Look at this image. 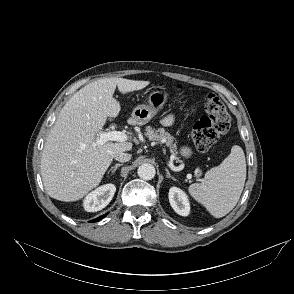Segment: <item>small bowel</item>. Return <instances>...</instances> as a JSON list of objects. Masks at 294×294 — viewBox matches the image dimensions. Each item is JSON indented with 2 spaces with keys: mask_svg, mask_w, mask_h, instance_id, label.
Segmentation results:
<instances>
[{
  "mask_svg": "<svg viewBox=\"0 0 294 294\" xmlns=\"http://www.w3.org/2000/svg\"><path fill=\"white\" fill-rule=\"evenodd\" d=\"M173 122V117L171 115L169 116H166L164 119H163V124L164 125H170L172 124Z\"/></svg>",
  "mask_w": 294,
  "mask_h": 294,
  "instance_id": "obj_1",
  "label": "small bowel"
}]
</instances>
